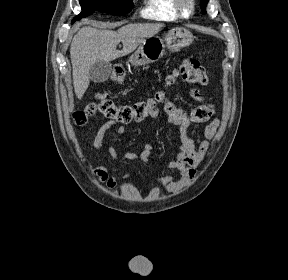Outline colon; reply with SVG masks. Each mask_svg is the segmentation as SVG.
Wrapping results in <instances>:
<instances>
[{
	"mask_svg": "<svg viewBox=\"0 0 288 280\" xmlns=\"http://www.w3.org/2000/svg\"><path fill=\"white\" fill-rule=\"evenodd\" d=\"M125 69L121 65H116L113 69L111 79L114 83L122 84L125 81ZM181 77L188 83L205 85L207 74L203 65L190 57L183 60L181 65L166 78V84L170 85L177 77ZM164 98L162 93H158L154 98L147 101L136 102L131 105H116L106 92L98 94V102L89 104L84 111H77L73 114L77 124H84L98 109L107 118L120 123L139 121L151 113L156 105Z\"/></svg>",
	"mask_w": 288,
	"mask_h": 280,
	"instance_id": "obj_1",
	"label": "colon"
}]
</instances>
